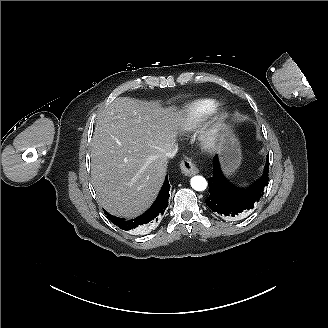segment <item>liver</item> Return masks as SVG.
Here are the masks:
<instances>
[{
  "label": "liver",
  "mask_w": 328,
  "mask_h": 328,
  "mask_svg": "<svg viewBox=\"0 0 328 328\" xmlns=\"http://www.w3.org/2000/svg\"><path fill=\"white\" fill-rule=\"evenodd\" d=\"M182 109L121 97L97 116L92 185L99 203L117 216H136L155 199L166 175V150L184 121Z\"/></svg>",
  "instance_id": "1"
}]
</instances>
